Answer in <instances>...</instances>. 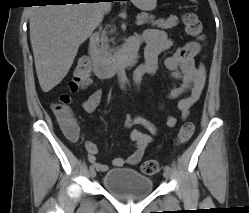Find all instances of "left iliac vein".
Wrapping results in <instances>:
<instances>
[{
    "label": "left iliac vein",
    "instance_id": "1",
    "mask_svg": "<svg viewBox=\"0 0 249 213\" xmlns=\"http://www.w3.org/2000/svg\"><path fill=\"white\" fill-rule=\"evenodd\" d=\"M163 176L165 179H168L170 177V173L168 171H164Z\"/></svg>",
    "mask_w": 249,
    "mask_h": 213
}]
</instances>
